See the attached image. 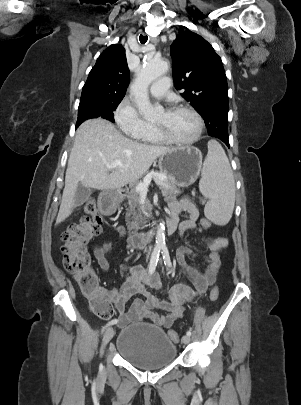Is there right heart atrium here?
Instances as JSON below:
<instances>
[{
	"mask_svg": "<svg viewBox=\"0 0 301 405\" xmlns=\"http://www.w3.org/2000/svg\"><path fill=\"white\" fill-rule=\"evenodd\" d=\"M114 118L120 129L131 136L136 135L148 125L140 116L136 106L127 98L117 106Z\"/></svg>",
	"mask_w": 301,
	"mask_h": 405,
	"instance_id": "1",
	"label": "right heart atrium"
}]
</instances>
